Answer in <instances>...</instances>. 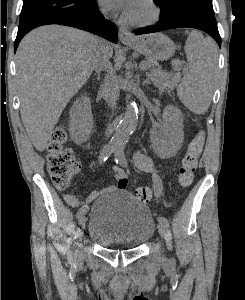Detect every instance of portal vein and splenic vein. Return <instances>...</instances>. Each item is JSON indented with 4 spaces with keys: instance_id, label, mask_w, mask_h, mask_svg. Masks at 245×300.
Here are the masks:
<instances>
[{
    "instance_id": "portal-vein-and-splenic-vein-1",
    "label": "portal vein and splenic vein",
    "mask_w": 245,
    "mask_h": 300,
    "mask_svg": "<svg viewBox=\"0 0 245 300\" xmlns=\"http://www.w3.org/2000/svg\"><path fill=\"white\" fill-rule=\"evenodd\" d=\"M140 66H141V68H143V69H146V68H147V65H146L144 62H142V63L140 64Z\"/></svg>"
}]
</instances>
